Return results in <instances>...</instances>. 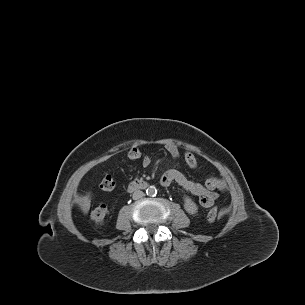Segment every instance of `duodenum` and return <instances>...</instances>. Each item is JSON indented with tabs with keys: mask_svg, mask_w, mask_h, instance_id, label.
Segmentation results:
<instances>
[{
	"mask_svg": "<svg viewBox=\"0 0 305 305\" xmlns=\"http://www.w3.org/2000/svg\"><path fill=\"white\" fill-rule=\"evenodd\" d=\"M149 186V183L146 180L143 179H135L132 180L129 184H128V191L132 192V191H137V190H143L146 189Z\"/></svg>",
	"mask_w": 305,
	"mask_h": 305,
	"instance_id": "410a0bca",
	"label": "duodenum"
}]
</instances>
